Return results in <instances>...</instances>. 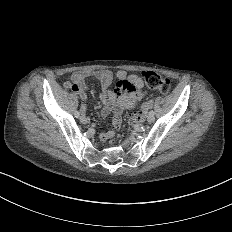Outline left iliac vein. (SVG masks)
I'll list each match as a JSON object with an SVG mask.
<instances>
[{
  "mask_svg": "<svg viewBox=\"0 0 232 232\" xmlns=\"http://www.w3.org/2000/svg\"><path fill=\"white\" fill-rule=\"evenodd\" d=\"M147 122H148V123H153V122H154V116H153L152 114H149V115L147 116Z\"/></svg>",
  "mask_w": 232,
  "mask_h": 232,
  "instance_id": "left-iliac-vein-1",
  "label": "left iliac vein"
}]
</instances>
